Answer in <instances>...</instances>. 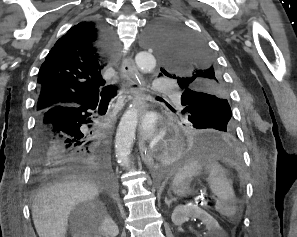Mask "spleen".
<instances>
[{"label":"spleen","instance_id":"3e777b00","mask_svg":"<svg viewBox=\"0 0 297 237\" xmlns=\"http://www.w3.org/2000/svg\"><path fill=\"white\" fill-rule=\"evenodd\" d=\"M205 170L208 173L207 182L211 192L217 196L215 209L227 218H233L236 214V198L230 181L222 166L210 158L192 159L188 161L176 174L173 184L183 180L190 181Z\"/></svg>","mask_w":297,"mask_h":237}]
</instances>
